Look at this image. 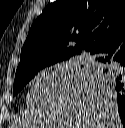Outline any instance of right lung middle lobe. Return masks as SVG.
<instances>
[{"label": "right lung middle lobe", "instance_id": "dd1d6c3e", "mask_svg": "<svg viewBox=\"0 0 125 128\" xmlns=\"http://www.w3.org/2000/svg\"><path fill=\"white\" fill-rule=\"evenodd\" d=\"M69 59L63 60L60 58H52L46 61L37 62L31 64L30 66L16 71L14 86H13V96L16 95L40 70L48 68L54 65L63 66V62ZM61 64V65H60ZM89 70V69H88ZM92 71V69H90ZM98 76H101L107 80L106 73L102 71L95 72Z\"/></svg>", "mask_w": 125, "mask_h": 128}]
</instances>
